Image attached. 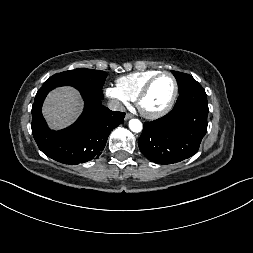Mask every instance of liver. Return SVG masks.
<instances>
[{
  "mask_svg": "<svg viewBox=\"0 0 253 253\" xmlns=\"http://www.w3.org/2000/svg\"><path fill=\"white\" fill-rule=\"evenodd\" d=\"M82 106L78 91L62 87L49 93L43 106V115L51 128H64L75 121Z\"/></svg>",
  "mask_w": 253,
  "mask_h": 253,
  "instance_id": "obj_1",
  "label": "liver"
}]
</instances>
